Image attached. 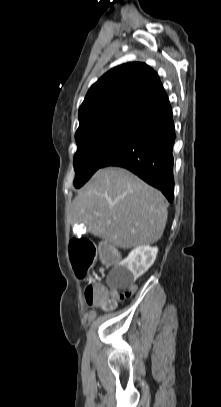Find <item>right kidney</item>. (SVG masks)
<instances>
[{
    "label": "right kidney",
    "mask_w": 221,
    "mask_h": 407,
    "mask_svg": "<svg viewBox=\"0 0 221 407\" xmlns=\"http://www.w3.org/2000/svg\"><path fill=\"white\" fill-rule=\"evenodd\" d=\"M158 253L157 247L148 245L133 249L129 255L119 263L118 272L124 285H132L154 263Z\"/></svg>",
    "instance_id": "1"
}]
</instances>
